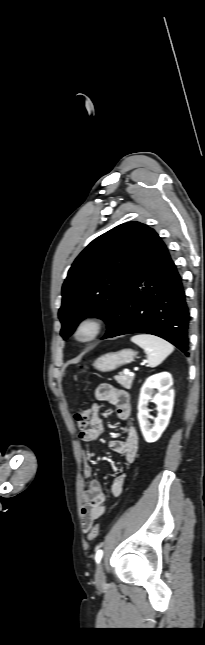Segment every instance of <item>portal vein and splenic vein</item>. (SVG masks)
<instances>
[{"instance_id":"obj_1","label":"portal vein and splenic vein","mask_w":205,"mask_h":645,"mask_svg":"<svg viewBox=\"0 0 205 645\" xmlns=\"http://www.w3.org/2000/svg\"><path fill=\"white\" fill-rule=\"evenodd\" d=\"M124 374H126V375H129V374H130V375H133V374H132L128 369L124 370Z\"/></svg>"}]
</instances>
